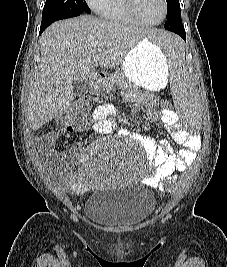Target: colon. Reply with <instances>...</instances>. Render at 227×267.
I'll return each instance as SVG.
<instances>
[{
	"mask_svg": "<svg viewBox=\"0 0 227 267\" xmlns=\"http://www.w3.org/2000/svg\"><path fill=\"white\" fill-rule=\"evenodd\" d=\"M172 100H162L159 105L160 109H174ZM89 109L87 99H80L74 103L71 110L60 118V124L64 127L71 126L76 117L85 114ZM165 178H176V173H165Z\"/></svg>",
	"mask_w": 227,
	"mask_h": 267,
	"instance_id": "obj_1",
	"label": "colon"
}]
</instances>
